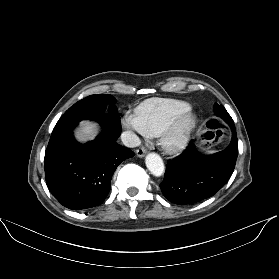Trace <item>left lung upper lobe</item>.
<instances>
[{
  "instance_id": "obj_1",
  "label": "left lung upper lobe",
  "mask_w": 279,
  "mask_h": 279,
  "mask_svg": "<svg viewBox=\"0 0 279 279\" xmlns=\"http://www.w3.org/2000/svg\"><path fill=\"white\" fill-rule=\"evenodd\" d=\"M214 112L217 116L222 117L225 121H232L231 116L228 114L224 106L215 103Z\"/></svg>"
}]
</instances>
